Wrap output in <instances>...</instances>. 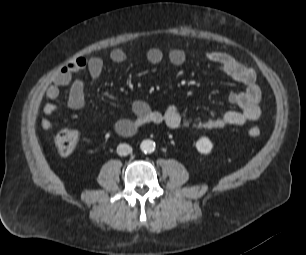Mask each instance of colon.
<instances>
[{"mask_svg":"<svg viewBox=\"0 0 306 255\" xmlns=\"http://www.w3.org/2000/svg\"><path fill=\"white\" fill-rule=\"evenodd\" d=\"M248 134L252 138H256L260 136L261 130L258 127H251L248 130ZM78 143V133L69 128H65L57 133L55 136V145L57 147L58 152L62 156L71 155L76 149Z\"/></svg>","mask_w":306,"mask_h":255,"instance_id":"obj_1","label":"colon"}]
</instances>
